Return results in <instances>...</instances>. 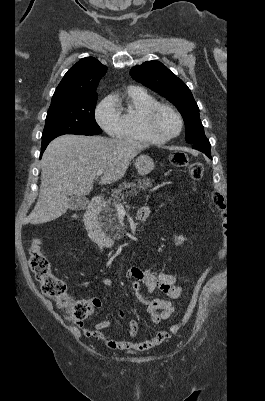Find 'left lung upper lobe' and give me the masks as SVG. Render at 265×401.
Returning a JSON list of instances; mask_svg holds the SVG:
<instances>
[{
    "mask_svg": "<svg viewBox=\"0 0 265 401\" xmlns=\"http://www.w3.org/2000/svg\"><path fill=\"white\" fill-rule=\"evenodd\" d=\"M130 74L134 80L159 93L177 107L185 122L188 143L194 144L207 139L197 103L181 79L158 61H147L135 66Z\"/></svg>",
    "mask_w": 265,
    "mask_h": 401,
    "instance_id": "1",
    "label": "left lung upper lobe"
}]
</instances>
